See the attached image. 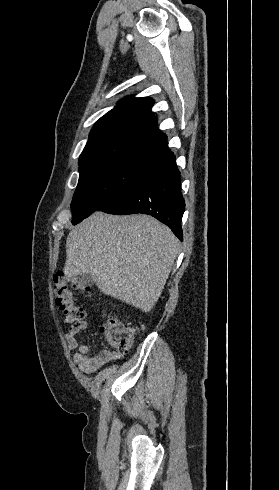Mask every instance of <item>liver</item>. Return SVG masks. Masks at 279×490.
I'll return each mask as SVG.
<instances>
[{"mask_svg":"<svg viewBox=\"0 0 279 490\" xmlns=\"http://www.w3.org/2000/svg\"><path fill=\"white\" fill-rule=\"evenodd\" d=\"M177 252V238L152 216L95 212L70 232L63 274H89L100 292L147 314L164 290Z\"/></svg>","mask_w":279,"mask_h":490,"instance_id":"obj_1","label":"liver"}]
</instances>
